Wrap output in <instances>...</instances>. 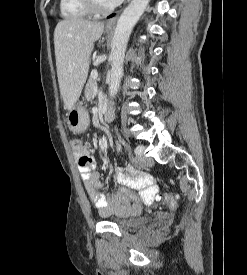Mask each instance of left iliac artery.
<instances>
[{
    "mask_svg": "<svg viewBox=\"0 0 247 275\" xmlns=\"http://www.w3.org/2000/svg\"><path fill=\"white\" fill-rule=\"evenodd\" d=\"M139 151H140V148H139V146H137V147L135 148L134 152H135V154L137 155V154L139 153Z\"/></svg>",
    "mask_w": 247,
    "mask_h": 275,
    "instance_id": "left-iliac-artery-1",
    "label": "left iliac artery"
}]
</instances>
